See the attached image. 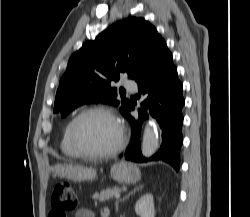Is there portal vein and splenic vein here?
Masks as SVG:
<instances>
[{"label":"portal vein and splenic vein","instance_id":"portal-vein-and-splenic-vein-1","mask_svg":"<svg viewBox=\"0 0 250 217\" xmlns=\"http://www.w3.org/2000/svg\"><path fill=\"white\" fill-rule=\"evenodd\" d=\"M115 197H116V198H119V197H120V193H117V194L115 195Z\"/></svg>","mask_w":250,"mask_h":217}]
</instances>
